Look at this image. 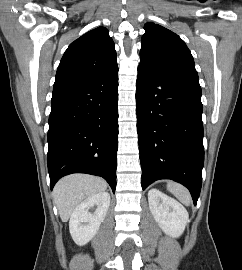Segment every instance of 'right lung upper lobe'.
I'll list each match as a JSON object with an SVG mask.
<instances>
[{
	"instance_id": "obj_1",
	"label": "right lung upper lobe",
	"mask_w": 242,
	"mask_h": 270,
	"mask_svg": "<svg viewBox=\"0 0 242 270\" xmlns=\"http://www.w3.org/2000/svg\"><path fill=\"white\" fill-rule=\"evenodd\" d=\"M117 66L115 45L104 27L93 29L69 45L57 69L53 93L81 85Z\"/></svg>"
}]
</instances>
